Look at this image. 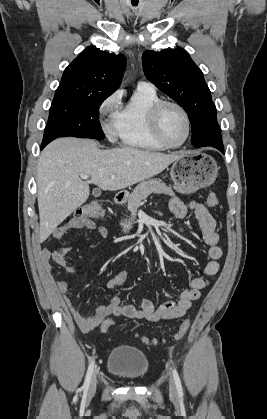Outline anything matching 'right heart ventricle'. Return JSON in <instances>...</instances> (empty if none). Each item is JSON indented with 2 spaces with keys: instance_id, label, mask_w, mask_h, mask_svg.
Segmentation results:
<instances>
[{
  "instance_id": "right-heart-ventricle-1",
  "label": "right heart ventricle",
  "mask_w": 267,
  "mask_h": 419,
  "mask_svg": "<svg viewBox=\"0 0 267 419\" xmlns=\"http://www.w3.org/2000/svg\"><path fill=\"white\" fill-rule=\"evenodd\" d=\"M161 100L154 88H138L116 113L117 135L132 148L150 151L165 149L153 136L149 126L150 109Z\"/></svg>"
}]
</instances>
